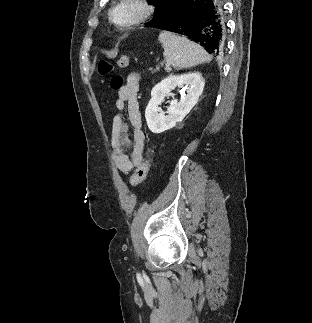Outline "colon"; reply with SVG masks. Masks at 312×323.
<instances>
[{"label":"colon","instance_id":"colon-1","mask_svg":"<svg viewBox=\"0 0 312 323\" xmlns=\"http://www.w3.org/2000/svg\"><path fill=\"white\" fill-rule=\"evenodd\" d=\"M117 65L121 68H126L129 65V58L127 55H121L117 59ZM112 68L111 64L109 62H102L100 66V72L107 73ZM123 86V78L120 75H116L112 78L110 82V87L113 91H118ZM152 160L151 158L147 157L146 160L143 161V163L137 168L134 176H133V183L139 184L143 182L148 174L149 169L151 168Z\"/></svg>","mask_w":312,"mask_h":323}]
</instances>
